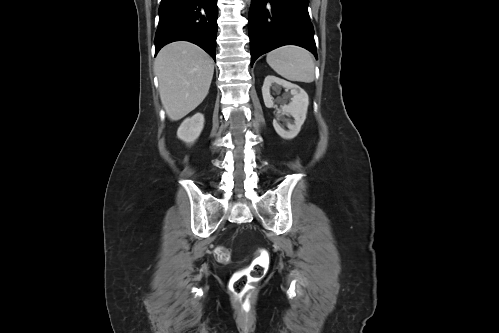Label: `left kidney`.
<instances>
[{
    "mask_svg": "<svg viewBox=\"0 0 499 333\" xmlns=\"http://www.w3.org/2000/svg\"><path fill=\"white\" fill-rule=\"evenodd\" d=\"M273 84H277L285 88L286 90H290L291 102L288 105H283L278 109L276 114V119L273 120V127L277 134L284 139H293L295 138L301 130V126L303 125L307 109L309 105V97L308 94L300 88L298 85L275 77L273 75H268L262 87V95L265 106L267 108H273L274 99L270 94V87ZM283 115L292 116L294 118V122L286 121L285 124H280V117Z\"/></svg>",
    "mask_w": 499,
    "mask_h": 333,
    "instance_id": "5707ae66",
    "label": "left kidney"
}]
</instances>
